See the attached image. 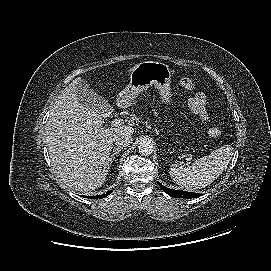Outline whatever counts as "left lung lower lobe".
<instances>
[{
  "mask_svg": "<svg viewBox=\"0 0 271 271\" xmlns=\"http://www.w3.org/2000/svg\"><path fill=\"white\" fill-rule=\"evenodd\" d=\"M158 184H159L160 188L165 193L170 195L171 197L190 199V198H196V197L201 196V194H198V193H192V192H186V191H182V190L169 189V188H166L165 186H163L162 184H160L159 182H158Z\"/></svg>",
  "mask_w": 271,
  "mask_h": 271,
  "instance_id": "1",
  "label": "left lung lower lobe"
}]
</instances>
